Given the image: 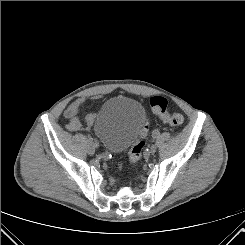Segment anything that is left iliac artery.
I'll return each instance as SVG.
<instances>
[{"mask_svg": "<svg viewBox=\"0 0 245 245\" xmlns=\"http://www.w3.org/2000/svg\"><path fill=\"white\" fill-rule=\"evenodd\" d=\"M160 135H161V132L159 130H156L153 132L152 137H153V139H155V138L159 137Z\"/></svg>", "mask_w": 245, "mask_h": 245, "instance_id": "obj_1", "label": "left iliac artery"}]
</instances>
